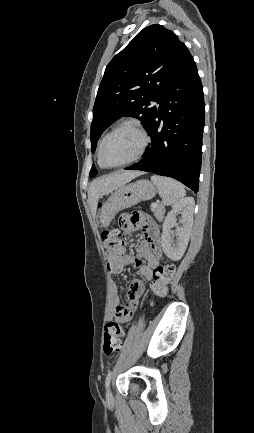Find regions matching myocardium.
<instances>
[{"instance_id":"myocardium-1","label":"myocardium","mask_w":254,"mask_h":433,"mask_svg":"<svg viewBox=\"0 0 254 433\" xmlns=\"http://www.w3.org/2000/svg\"><path fill=\"white\" fill-rule=\"evenodd\" d=\"M124 127H131V128L135 129L138 132V134L142 138L141 148H140V150L138 151V153L134 157H132L131 159H129L126 162H123V163L117 164V165L107 164L103 160V148L105 146V143L107 142V140L109 139V137L112 134H114L115 132H117L118 130H120L121 128H124ZM149 144H150V137L147 134V132L145 131V129L142 127V125L138 121H136V120H125V121L119 123L111 131H109L104 136V138L102 139L101 144H100L99 149H98V161H99V163L103 167L109 168V169L125 167V166H128V165H130V164L138 161L145 154V152H146Z\"/></svg>"}]
</instances>
